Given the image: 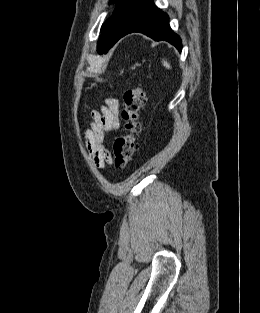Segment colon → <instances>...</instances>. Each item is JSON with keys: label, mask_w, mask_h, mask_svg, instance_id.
<instances>
[{"label": "colon", "mask_w": 260, "mask_h": 313, "mask_svg": "<svg viewBox=\"0 0 260 313\" xmlns=\"http://www.w3.org/2000/svg\"><path fill=\"white\" fill-rule=\"evenodd\" d=\"M123 100L122 117L125 122V132L115 140L113 145L112 163L117 169L125 168L136 150V140L141 130L139 113L146 102L145 92L141 86L133 85L124 93Z\"/></svg>", "instance_id": "1"}]
</instances>
